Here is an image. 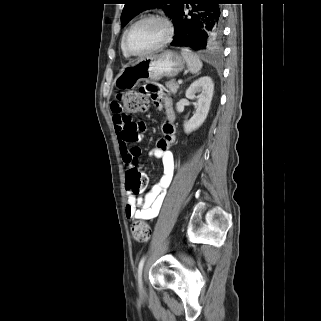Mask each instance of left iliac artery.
<instances>
[{
	"label": "left iliac artery",
	"mask_w": 321,
	"mask_h": 321,
	"mask_svg": "<svg viewBox=\"0 0 321 321\" xmlns=\"http://www.w3.org/2000/svg\"><path fill=\"white\" fill-rule=\"evenodd\" d=\"M145 259H146V256H143L141 258L140 262H139V265H138V279H139V282L141 280V275H142V270H143Z\"/></svg>",
	"instance_id": "obj_1"
}]
</instances>
